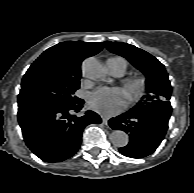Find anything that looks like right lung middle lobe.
Segmentation results:
<instances>
[{"label": "right lung middle lobe", "instance_id": "right-lung-middle-lobe-1", "mask_svg": "<svg viewBox=\"0 0 194 193\" xmlns=\"http://www.w3.org/2000/svg\"><path fill=\"white\" fill-rule=\"evenodd\" d=\"M18 97L20 107L73 106L81 99L74 96L80 87V77L38 74L24 85Z\"/></svg>", "mask_w": 194, "mask_h": 193}]
</instances>
